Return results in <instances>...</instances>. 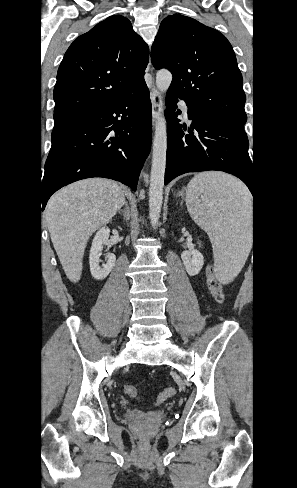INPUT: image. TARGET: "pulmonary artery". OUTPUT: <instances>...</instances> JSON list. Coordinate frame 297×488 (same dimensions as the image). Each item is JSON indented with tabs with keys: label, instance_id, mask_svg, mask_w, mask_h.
Wrapping results in <instances>:
<instances>
[{
	"label": "pulmonary artery",
	"instance_id": "obj_1",
	"mask_svg": "<svg viewBox=\"0 0 297 488\" xmlns=\"http://www.w3.org/2000/svg\"><path fill=\"white\" fill-rule=\"evenodd\" d=\"M181 107H182L184 114L187 116L188 110H187V106H186L185 102H183V101L181 102Z\"/></svg>",
	"mask_w": 297,
	"mask_h": 488
}]
</instances>
